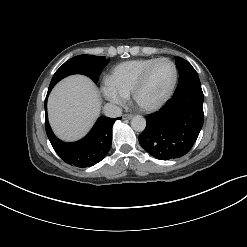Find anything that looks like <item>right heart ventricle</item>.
<instances>
[{
    "label": "right heart ventricle",
    "instance_id": "1",
    "mask_svg": "<svg viewBox=\"0 0 247 247\" xmlns=\"http://www.w3.org/2000/svg\"><path fill=\"white\" fill-rule=\"evenodd\" d=\"M155 59L140 58L120 63L112 69L107 81L116 89L128 95L142 71Z\"/></svg>",
    "mask_w": 247,
    "mask_h": 247
}]
</instances>
